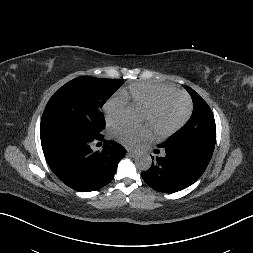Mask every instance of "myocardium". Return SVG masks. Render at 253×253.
Masks as SVG:
<instances>
[{
  "instance_id": "1",
  "label": "myocardium",
  "mask_w": 253,
  "mask_h": 253,
  "mask_svg": "<svg viewBox=\"0 0 253 253\" xmlns=\"http://www.w3.org/2000/svg\"><path fill=\"white\" fill-rule=\"evenodd\" d=\"M168 97H177L182 100L185 105V111L181 119L167 129H159L155 126H152L156 136L160 139L167 138L179 131L182 127H184L190 119L193 110L191 99L185 93L176 90L161 93L148 106H146L144 110L149 114V116H152L156 112L162 101Z\"/></svg>"
}]
</instances>
